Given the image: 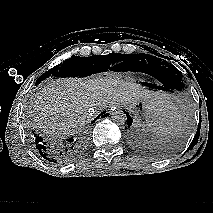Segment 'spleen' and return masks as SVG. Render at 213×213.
Here are the masks:
<instances>
[{
	"label": "spleen",
	"mask_w": 213,
	"mask_h": 213,
	"mask_svg": "<svg viewBox=\"0 0 213 213\" xmlns=\"http://www.w3.org/2000/svg\"><path fill=\"white\" fill-rule=\"evenodd\" d=\"M149 127L160 137L175 134L180 126V115L176 109L163 110L151 121Z\"/></svg>",
	"instance_id": "obj_1"
}]
</instances>
